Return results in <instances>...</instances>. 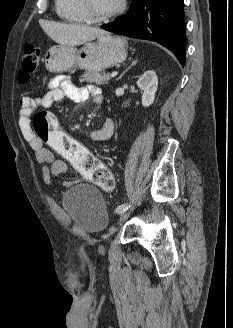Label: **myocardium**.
<instances>
[{"label": "myocardium", "mask_w": 233, "mask_h": 328, "mask_svg": "<svg viewBox=\"0 0 233 328\" xmlns=\"http://www.w3.org/2000/svg\"><path fill=\"white\" fill-rule=\"evenodd\" d=\"M78 1H79L81 10L85 16L86 21L90 22V23L107 22L110 19L120 15L124 11L125 6H126L125 0H120L117 7L114 8L112 11H110L106 14H103V15H94L91 12L88 0H78Z\"/></svg>", "instance_id": "myocardium-1"}]
</instances>
